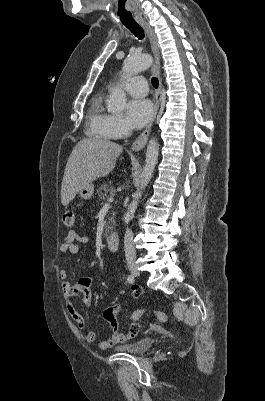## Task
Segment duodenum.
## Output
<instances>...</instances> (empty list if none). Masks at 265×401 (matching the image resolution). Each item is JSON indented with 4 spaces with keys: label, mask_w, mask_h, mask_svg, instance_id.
<instances>
[{
    "label": "duodenum",
    "mask_w": 265,
    "mask_h": 401,
    "mask_svg": "<svg viewBox=\"0 0 265 401\" xmlns=\"http://www.w3.org/2000/svg\"><path fill=\"white\" fill-rule=\"evenodd\" d=\"M107 247L110 251L115 252L119 246V237L116 233L110 234L106 239Z\"/></svg>",
    "instance_id": "duodenum-1"
}]
</instances>
